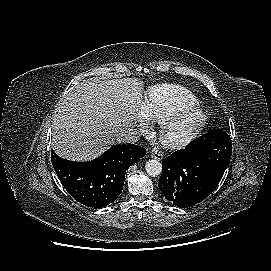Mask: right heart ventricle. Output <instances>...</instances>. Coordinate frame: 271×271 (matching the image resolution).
Segmentation results:
<instances>
[{
  "mask_svg": "<svg viewBox=\"0 0 271 271\" xmlns=\"http://www.w3.org/2000/svg\"><path fill=\"white\" fill-rule=\"evenodd\" d=\"M196 105H199V99L189 89L175 84H161L149 88L142 113L147 121L159 123L176 111Z\"/></svg>",
  "mask_w": 271,
  "mask_h": 271,
  "instance_id": "1",
  "label": "right heart ventricle"
}]
</instances>
